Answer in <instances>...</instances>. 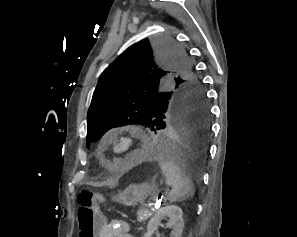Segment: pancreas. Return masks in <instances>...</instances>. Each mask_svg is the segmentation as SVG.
Returning <instances> with one entry per match:
<instances>
[{
	"instance_id": "cf45deb5",
	"label": "pancreas",
	"mask_w": 297,
	"mask_h": 237,
	"mask_svg": "<svg viewBox=\"0 0 297 237\" xmlns=\"http://www.w3.org/2000/svg\"><path fill=\"white\" fill-rule=\"evenodd\" d=\"M153 215V212L147 209L146 207H142L137 212V221L145 222L148 218Z\"/></svg>"
}]
</instances>
